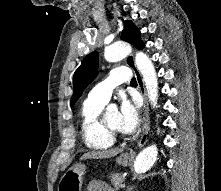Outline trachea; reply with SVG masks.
I'll return each instance as SVG.
<instances>
[{"mask_svg":"<svg viewBox=\"0 0 221 191\" xmlns=\"http://www.w3.org/2000/svg\"><path fill=\"white\" fill-rule=\"evenodd\" d=\"M131 83H132V84H136V79H135V78H132Z\"/></svg>","mask_w":221,"mask_h":191,"instance_id":"trachea-1","label":"trachea"}]
</instances>
